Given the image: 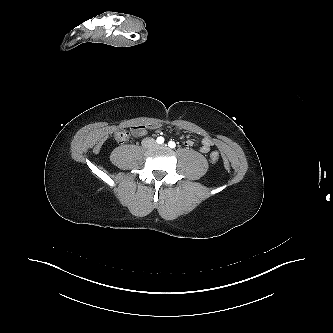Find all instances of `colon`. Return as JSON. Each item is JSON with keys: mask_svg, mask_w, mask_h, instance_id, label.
I'll return each mask as SVG.
<instances>
[{"mask_svg": "<svg viewBox=\"0 0 333 333\" xmlns=\"http://www.w3.org/2000/svg\"><path fill=\"white\" fill-rule=\"evenodd\" d=\"M128 138H129V133L125 130L118 131L115 134V140L119 143H124L125 141L128 140ZM209 160L212 163H216L219 160V153L217 151H212L209 154Z\"/></svg>", "mask_w": 333, "mask_h": 333, "instance_id": "obj_1", "label": "colon"}]
</instances>
